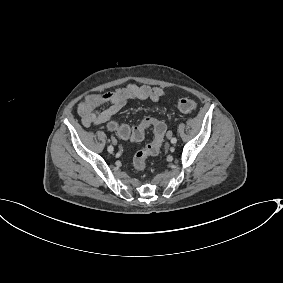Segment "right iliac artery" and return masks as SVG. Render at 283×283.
I'll return each instance as SVG.
<instances>
[{"instance_id":"right-iliac-artery-1","label":"right iliac artery","mask_w":283,"mask_h":283,"mask_svg":"<svg viewBox=\"0 0 283 283\" xmlns=\"http://www.w3.org/2000/svg\"><path fill=\"white\" fill-rule=\"evenodd\" d=\"M107 150H108V152L112 153L113 152V146L112 145L108 146Z\"/></svg>"}]
</instances>
